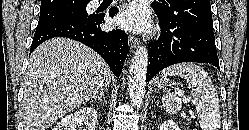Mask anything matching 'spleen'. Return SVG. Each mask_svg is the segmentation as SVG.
Wrapping results in <instances>:
<instances>
[{
  "label": "spleen",
  "mask_w": 249,
  "mask_h": 130,
  "mask_svg": "<svg viewBox=\"0 0 249 130\" xmlns=\"http://www.w3.org/2000/svg\"><path fill=\"white\" fill-rule=\"evenodd\" d=\"M176 74L185 78L189 85L202 130H220L219 98L207 72L194 63L175 64L161 72V75L164 77ZM180 95V91L163 95L162 105L166 112L171 115L180 112L182 108Z\"/></svg>",
  "instance_id": "1"
}]
</instances>
